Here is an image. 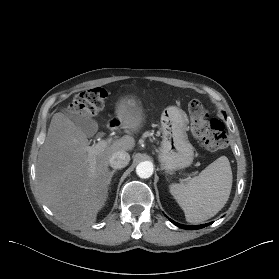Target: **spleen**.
Wrapping results in <instances>:
<instances>
[{"label": "spleen", "mask_w": 279, "mask_h": 279, "mask_svg": "<svg viewBox=\"0 0 279 279\" xmlns=\"http://www.w3.org/2000/svg\"><path fill=\"white\" fill-rule=\"evenodd\" d=\"M232 181L230 162L221 156L186 184H172L170 193L184 211L186 221L197 224L214 217L225 206Z\"/></svg>", "instance_id": "3e777b00"}]
</instances>
